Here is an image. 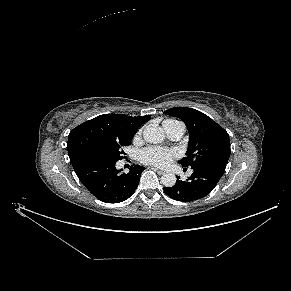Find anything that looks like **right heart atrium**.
Listing matches in <instances>:
<instances>
[{
  "label": "right heart atrium",
  "instance_id": "obj_1",
  "mask_svg": "<svg viewBox=\"0 0 291 291\" xmlns=\"http://www.w3.org/2000/svg\"><path fill=\"white\" fill-rule=\"evenodd\" d=\"M140 135H141V130H139V131L136 132V134L134 136V140L139 139Z\"/></svg>",
  "mask_w": 291,
  "mask_h": 291
}]
</instances>
